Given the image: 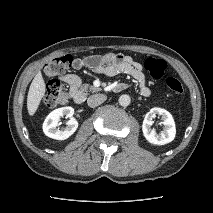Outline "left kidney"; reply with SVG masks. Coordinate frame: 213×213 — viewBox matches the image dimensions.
<instances>
[{"mask_svg":"<svg viewBox=\"0 0 213 213\" xmlns=\"http://www.w3.org/2000/svg\"><path fill=\"white\" fill-rule=\"evenodd\" d=\"M160 115L163 122L162 124L165 126L164 130L160 133H157L155 129H152L153 121L152 119L156 116ZM143 135L148 142L154 145H165L174 140L176 135V127L175 122L170 114L165 109L162 108H152L146 115L142 124Z\"/></svg>","mask_w":213,"mask_h":213,"instance_id":"1","label":"left kidney"}]
</instances>
